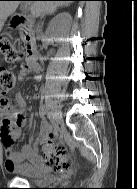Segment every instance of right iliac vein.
Masks as SVG:
<instances>
[{"label": "right iliac vein", "mask_w": 137, "mask_h": 189, "mask_svg": "<svg viewBox=\"0 0 137 189\" xmlns=\"http://www.w3.org/2000/svg\"><path fill=\"white\" fill-rule=\"evenodd\" d=\"M61 121H62L61 112L55 109L52 114V123H53L54 128H58V125L61 123Z\"/></svg>", "instance_id": "obj_1"}]
</instances>
